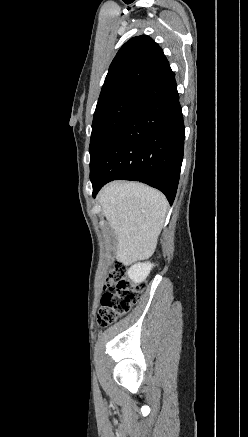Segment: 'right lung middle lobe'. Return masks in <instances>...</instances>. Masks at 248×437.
I'll list each match as a JSON object with an SVG mask.
<instances>
[{"label":"right lung middle lobe","mask_w":248,"mask_h":437,"mask_svg":"<svg viewBox=\"0 0 248 437\" xmlns=\"http://www.w3.org/2000/svg\"><path fill=\"white\" fill-rule=\"evenodd\" d=\"M139 93L138 91L125 92L96 107L89 148L90 170L104 146L122 123Z\"/></svg>","instance_id":"1"}]
</instances>
